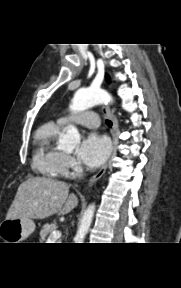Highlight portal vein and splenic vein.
<instances>
[{"label":"portal vein and splenic vein","mask_w":181,"mask_h":288,"mask_svg":"<svg viewBox=\"0 0 181 288\" xmlns=\"http://www.w3.org/2000/svg\"><path fill=\"white\" fill-rule=\"evenodd\" d=\"M61 237V232L60 231H57V230H54L49 238H48V241H55L57 239H59Z\"/></svg>","instance_id":"1"}]
</instances>
